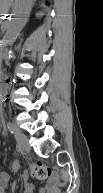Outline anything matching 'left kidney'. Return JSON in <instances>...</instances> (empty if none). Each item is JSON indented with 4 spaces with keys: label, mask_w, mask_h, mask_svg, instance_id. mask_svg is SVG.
<instances>
[{
    "label": "left kidney",
    "mask_w": 103,
    "mask_h": 193,
    "mask_svg": "<svg viewBox=\"0 0 103 193\" xmlns=\"http://www.w3.org/2000/svg\"><path fill=\"white\" fill-rule=\"evenodd\" d=\"M37 15H43L42 13H40V14H37Z\"/></svg>",
    "instance_id": "5707ae66"
}]
</instances>
